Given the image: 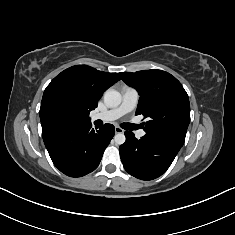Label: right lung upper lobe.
<instances>
[{"label": "right lung upper lobe", "instance_id": "right-lung-upper-lobe-1", "mask_svg": "<svg viewBox=\"0 0 235 235\" xmlns=\"http://www.w3.org/2000/svg\"><path fill=\"white\" fill-rule=\"evenodd\" d=\"M117 73H107L90 66L77 65L58 74L44 91L40 120L42 134L61 126L91 123L89 113L94 110L104 91L119 81ZM54 104H60L67 110L64 124L55 126L50 121V111Z\"/></svg>", "mask_w": 235, "mask_h": 235}]
</instances>
